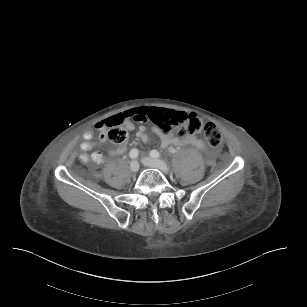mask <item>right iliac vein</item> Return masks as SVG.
Here are the masks:
<instances>
[{"label":"right iliac vein","instance_id":"obj_1","mask_svg":"<svg viewBox=\"0 0 307 307\" xmlns=\"http://www.w3.org/2000/svg\"><path fill=\"white\" fill-rule=\"evenodd\" d=\"M139 168H140V164L136 160L130 163V169L132 172L134 173L138 172Z\"/></svg>","mask_w":307,"mask_h":307}]
</instances>
